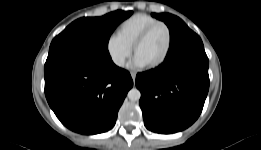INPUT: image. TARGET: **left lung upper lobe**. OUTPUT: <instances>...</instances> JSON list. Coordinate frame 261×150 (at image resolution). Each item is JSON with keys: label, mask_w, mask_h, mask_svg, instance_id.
Instances as JSON below:
<instances>
[{"label": "left lung upper lobe", "mask_w": 261, "mask_h": 150, "mask_svg": "<svg viewBox=\"0 0 261 150\" xmlns=\"http://www.w3.org/2000/svg\"><path fill=\"white\" fill-rule=\"evenodd\" d=\"M153 17L162 20L169 28L171 43L174 42L181 34L190 30L188 26L177 16L169 13L152 14Z\"/></svg>", "instance_id": "5c2ea615"}]
</instances>
